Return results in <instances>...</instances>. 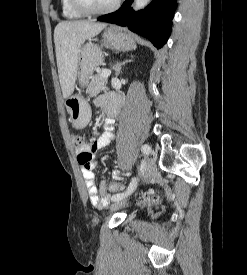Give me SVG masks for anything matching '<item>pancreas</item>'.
Listing matches in <instances>:
<instances>
[{"instance_id": "pancreas-1", "label": "pancreas", "mask_w": 247, "mask_h": 275, "mask_svg": "<svg viewBox=\"0 0 247 275\" xmlns=\"http://www.w3.org/2000/svg\"><path fill=\"white\" fill-rule=\"evenodd\" d=\"M107 79L102 77L100 73L94 75L86 90L90 96L97 95L100 91L106 90Z\"/></svg>"}]
</instances>
